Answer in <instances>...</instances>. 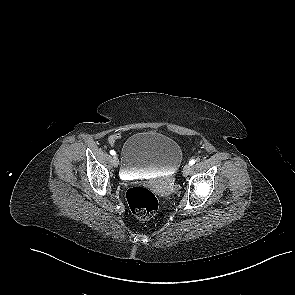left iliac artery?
<instances>
[{
	"mask_svg": "<svg viewBox=\"0 0 295 295\" xmlns=\"http://www.w3.org/2000/svg\"><path fill=\"white\" fill-rule=\"evenodd\" d=\"M195 160L194 159H191L190 161H189V165H193V164H195Z\"/></svg>",
	"mask_w": 295,
	"mask_h": 295,
	"instance_id": "44dca946",
	"label": "left iliac artery"
}]
</instances>
